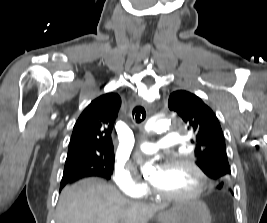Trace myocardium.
<instances>
[{"label":"myocardium","mask_w":267,"mask_h":223,"mask_svg":"<svg viewBox=\"0 0 267 223\" xmlns=\"http://www.w3.org/2000/svg\"><path fill=\"white\" fill-rule=\"evenodd\" d=\"M179 165L187 166L194 172L197 178L196 188L192 192L186 194H165L157 190L155 187H152V193L156 198L168 202H188L198 199L206 190V175L194 161L183 156H172L165 162V167H176Z\"/></svg>","instance_id":"myocardium-1"}]
</instances>
